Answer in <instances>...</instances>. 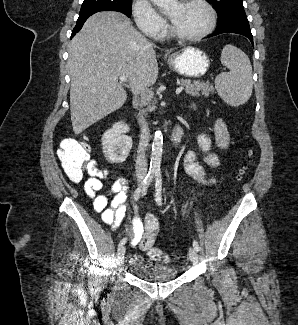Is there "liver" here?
<instances>
[{
  "label": "liver",
  "instance_id": "liver-1",
  "mask_svg": "<svg viewBox=\"0 0 298 325\" xmlns=\"http://www.w3.org/2000/svg\"><path fill=\"white\" fill-rule=\"evenodd\" d=\"M154 48L122 12L103 10L87 18L69 44L70 114L75 134L121 108L127 76L133 94L155 84L158 62Z\"/></svg>",
  "mask_w": 298,
  "mask_h": 325
}]
</instances>
